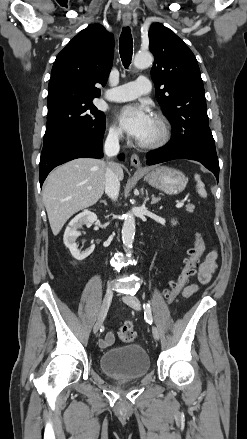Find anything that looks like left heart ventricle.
<instances>
[{
	"label": "left heart ventricle",
	"mask_w": 247,
	"mask_h": 439,
	"mask_svg": "<svg viewBox=\"0 0 247 439\" xmlns=\"http://www.w3.org/2000/svg\"><path fill=\"white\" fill-rule=\"evenodd\" d=\"M160 134L159 126L153 119L147 135L141 140L142 142H150L155 140Z\"/></svg>",
	"instance_id": "left-heart-ventricle-1"
}]
</instances>
